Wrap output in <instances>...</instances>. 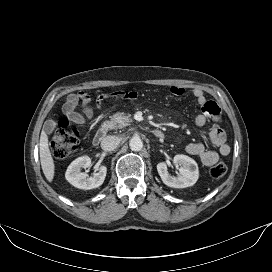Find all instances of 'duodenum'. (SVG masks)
<instances>
[{
	"mask_svg": "<svg viewBox=\"0 0 272 272\" xmlns=\"http://www.w3.org/2000/svg\"><path fill=\"white\" fill-rule=\"evenodd\" d=\"M107 132H108V126H103L101 127L97 133L95 134L94 138H93V144L94 145H99L103 140L104 138L106 137L107 135ZM153 134L156 138H159V139H163L164 138V133L161 131V130H154L153 131Z\"/></svg>",
	"mask_w": 272,
	"mask_h": 272,
	"instance_id": "obj_1",
	"label": "duodenum"
}]
</instances>
